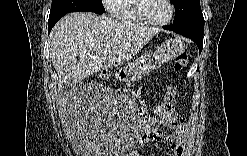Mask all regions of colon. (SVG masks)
<instances>
[{
    "label": "colon",
    "mask_w": 247,
    "mask_h": 156,
    "mask_svg": "<svg viewBox=\"0 0 247 156\" xmlns=\"http://www.w3.org/2000/svg\"><path fill=\"white\" fill-rule=\"evenodd\" d=\"M187 66V56L185 54H179L175 57L173 61V68L175 71H182ZM176 96L175 87L170 84L167 88V94L165 98H161V101H156V104H153V107H149V112H152L149 116L150 124L152 127L148 128L145 132V135L148 138H154L159 134V130H162V121L164 118L168 117V114L165 112H172V107L174 106V101Z\"/></svg>",
    "instance_id": "1"
}]
</instances>
